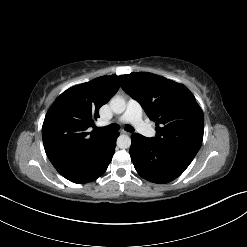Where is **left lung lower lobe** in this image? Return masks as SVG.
Instances as JSON below:
<instances>
[{"instance_id": "1", "label": "left lung lower lobe", "mask_w": 247, "mask_h": 247, "mask_svg": "<svg viewBox=\"0 0 247 247\" xmlns=\"http://www.w3.org/2000/svg\"><path fill=\"white\" fill-rule=\"evenodd\" d=\"M131 140L129 153L134 167L142 178L150 182L168 183L180 176L191 163L163 150L140 134H134Z\"/></svg>"}]
</instances>
